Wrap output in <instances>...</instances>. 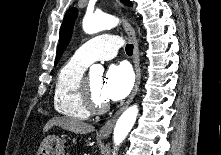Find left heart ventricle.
<instances>
[{"label": "left heart ventricle", "instance_id": "obj_1", "mask_svg": "<svg viewBox=\"0 0 221 155\" xmlns=\"http://www.w3.org/2000/svg\"><path fill=\"white\" fill-rule=\"evenodd\" d=\"M87 80L95 99L100 103L106 102V100L104 99L101 93L103 78L99 75H93L87 77Z\"/></svg>", "mask_w": 221, "mask_h": 155}]
</instances>
